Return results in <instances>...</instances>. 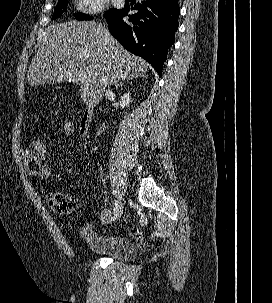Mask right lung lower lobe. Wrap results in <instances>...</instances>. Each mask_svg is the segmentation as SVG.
I'll return each mask as SVG.
<instances>
[{"label": "right lung lower lobe", "mask_w": 272, "mask_h": 303, "mask_svg": "<svg viewBox=\"0 0 272 303\" xmlns=\"http://www.w3.org/2000/svg\"><path fill=\"white\" fill-rule=\"evenodd\" d=\"M132 9L138 12L126 21L122 19L130 10L126 6L106 18L109 31L124 48L151 63L161 75L178 29V0H140Z\"/></svg>", "instance_id": "obj_1"}]
</instances>
